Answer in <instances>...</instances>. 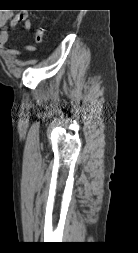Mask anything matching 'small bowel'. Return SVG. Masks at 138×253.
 I'll list each match as a JSON object with an SVG mask.
<instances>
[{"instance_id": "1", "label": "small bowel", "mask_w": 138, "mask_h": 253, "mask_svg": "<svg viewBox=\"0 0 138 253\" xmlns=\"http://www.w3.org/2000/svg\"><path fill=\"white\" fill-rule=\"evenodd\" d=\"M23 24L26 30H30L32 23L25 12H20L15 15L11 11H4L0 13V46L5 47L10 40V29ZM26 50L33 51L34 47L31 45L25 46ZM7 54L15 57L20 56V52L13 48L6 50Z\"/></svg>"}]
</instances>
